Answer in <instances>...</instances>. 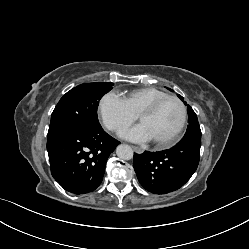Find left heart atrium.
Listing matches in <instances>:
<instances>
[{"instance_id":"obj_1","label":"left heart atrium","mask_w":249,"mask_h":249,"mask_svg":"<svg viewBox=\"0 0 249 249\" xmlns=\"http://www.w3.org/2000/svg\"><path fill=\"white\" fill-rule=\"evenodd\" d=\"M122 136L130 141L138 143L151 140V137L143 124L136 125L130 130L122 133Z\"/></svg>"}]
</instances>
